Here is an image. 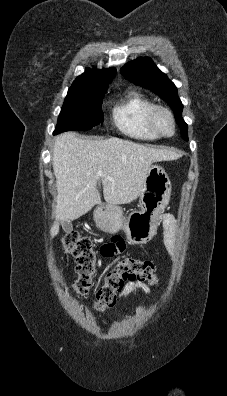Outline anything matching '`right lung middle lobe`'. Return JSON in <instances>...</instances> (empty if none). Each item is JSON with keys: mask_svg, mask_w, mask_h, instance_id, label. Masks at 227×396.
I'll return each mask as SVG.
<instances>
[{"mask_svg": "<svg viewBox=\"0 0 227 396\" xmlns=\"http://www.w3.org/2000/svg\"><path fill=\"white\" fill-rule=\"evenodd\" d=\"M106 90L71 86L65 98L54 134L71 130H89L103 122L102 99Z\"/></svg>", "mask_w": 227, "mask_h": 396, "instance_id": "1", "label": "right lung middle lobe"}]
</instances>
